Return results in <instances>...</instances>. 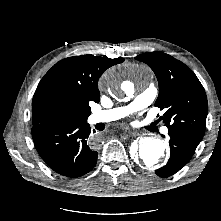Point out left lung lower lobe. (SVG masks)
Here are the masks:
<instances>
[{"instance_id": "0a47b994", "label": "left lung lower lobe", "mask_w": 221, "mask_h": 221, "mask_svg": "<svg viewBox=\"0 0 221 221\" xmlns=\"http://www.w3.org/2000/svg\"><path fill=\"white\" fill-rule=\"evenodd\" d=\"M170 158L168 163L155 171L159 177H168L178 172L192 157L201 139L180 131H168Z\"/></svg>"}]
</instances>
